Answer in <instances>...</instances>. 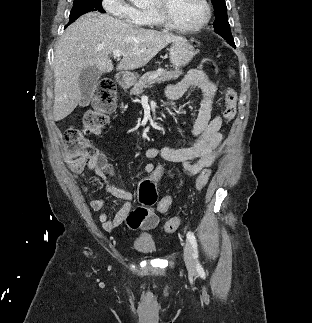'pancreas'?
<instances>
[{"mask_svg":"<svg viewBox=\"0 0 312 323\" xmlns=\"http://www.w3.org/2000/svg\"><path fill=\"white\" fill-rule=\"evenodd\" d=\"M182 70H161L160 74L157 72H146L136 84H134L132 90H130V94H134V96H139L141 92H144L145 88H152L151 84L157 82V84H161V82H170V80H177L179 76H181Z\"/></svg>","mask_w":312,"mask_h":323,"instance_id":"obj_1","label":"pancreas"}]
</instances>
